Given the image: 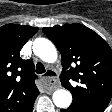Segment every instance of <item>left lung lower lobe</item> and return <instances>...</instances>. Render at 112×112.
<instances>
[{
    "instance_id": "1",
    "label": "left lung lower lobe",
    "mask_w": 112,
    "mask_h": 112,
    "mask_svg": "<svg viewBox=\"0 0 112 112\" xmlns=\"http://www.w3.org/2000/svg\"><path fill=\"white\" fill-rule=\"evenodd\" d=\"M105 108L98 106L71 104L69 108L62 109L61 112H103Z\"/></svg>"
}]
</instances>
